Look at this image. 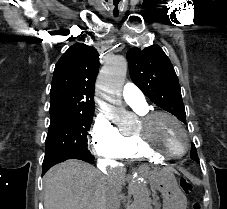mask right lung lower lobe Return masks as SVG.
<instances>
[{
	"label": "right lung lower lobe",
	"instance_id": "98d812e1",
	"mask_svg": "<svg viewBox=\"0 0 227 209\" xmlns=\"http://www.w3.org/2000/svg\"><path fill=\"white\" fill-rule=\"evenodd\" d=\"M68 159H80L85 162H91L94 160V156L91 153H89V154H64V155H60V156L50 159V164L48 165V167L50 168L53 165L63 162ZM42 172L45 173L46 171H42Z\"/></svg>",
	"mask_w": 227,
	"mask_h": 209
}]
</instances>
